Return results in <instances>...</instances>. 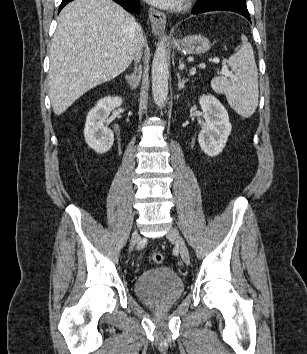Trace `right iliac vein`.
I'll list each match as a JSON object with an SVG mask.
<instances>
[{"label": "right iliac vein", "mask_w": 307, "mask_h": 354, "mask_svg": "<svg viewBox=\"0 0 307 354\" xmlns=\"http://www.w3.org/2000/svg\"><path fill=\"white\" fill-rule=\"evenodd\" d=\"M139 240H140V235L137 230H134L130 240L129 252L133 250L134 246L138 243Z\"/></svg>", "instance_id": "63e3f726"}]
</instances>
